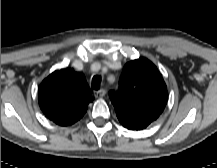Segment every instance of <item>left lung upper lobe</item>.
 Here are the masks:
<instances>
[{"instance_id":"5c2ea615","label":"left lung upper lobe","mask_w":217,"mask_h":168,"mask_svg":"<svg viewBox=\"0 0 217 168\" xmlns=\"http://www.w3.org/2000/svg\"><path fill=\"white\" fill-rule=\"evenodd\" d=\"M120 123L130 130H142L163 112L167 87L157 67L146 58L125 64L119 90L109 94Z\"/></svg>"}]
</instances>
